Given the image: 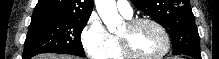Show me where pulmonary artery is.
I'll use <instances>...</instances> for the list:
<instances>
[{
	"mask_svg": "<svg viewBox=\"0 0 219 59\" xmlns=\"http://www.w3.org/2000/svg\"><path fill=\"white\" fill-rule=\"evenodd\" d=\"M116 7L119 12L126 18H131L133 15V8L128 1H117Z\"/></svg>",
	"mask_w": 219,
	"mask_h": 59,
	"instance_id": "pulmonary-artery-1",
	"label": "pulmonary artery"
}]
</instances>
